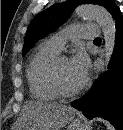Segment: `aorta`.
Returning a JSON list of instances; mask_svg holds the SVG:
<instances>
[{
  "label": "aorta",
  "instance_id": "obj_1",
  "mask_svg": "<svg viewBox=\"0 0 123 130\" xmlns=\"http://www.w3.org/2000/svg\"><path fill=\"white\" fill-rule=\"evenodd\" d=\"M75 14L83 19L95 20L102 29L104 36V71L107 70L114 51L116 39L115 21L112 15L98 5L84 4L76 8Z\"/></svg>",
  "mask_w": 123,
  "mask_h": 130
}]
</instances>
